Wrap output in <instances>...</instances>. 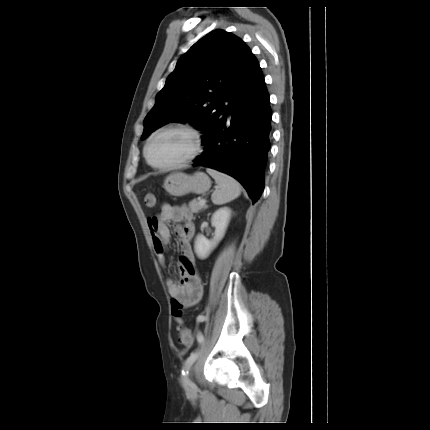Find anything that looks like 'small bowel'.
<instances>
[{
    "mask_svg": "<svg viewBox=\"0 0 430 430\" xmlns=\"http://www.w3.org/2000/svg\"><path fill=\"white\" fill-rule=\"evenodd\" d=\"M192 213L185 205L171 206L164 204L161 213L148 220V227L152 238L153 248L159 263L165 267V246L170 238V223H182L177 226L180 242V259L177 266L179 280L169 278L167 287L173 300V318L181 332L185 327L182 308L197 305L203 296V281L197 271L195 258L191 248V240L195 234L191 222ZM200 315L197 317V319ZM198 321V320H197ZM200 322V321H198Z\"/></svg>",
    "mask_w": 430,
    "mask_h": 430,
    "instance_id": "obj_1",
    "label": "small bowel"
}]
</instances>
